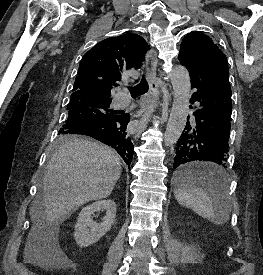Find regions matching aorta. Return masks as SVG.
Returning a JSON list of instances; mask_svg holds the SVG:
<instances>
[{
	"instance_id": "aorta-1",
	"label": "aorta",
	"mask_w": 263,
	"mask_h": 275,
	"mask_svg": "<svg viewBox=\"0 0 263 275\" xmlns=\"http://www.w3.org/2000/svg\"><path fill=\"white\" fill-rule=\"evenodd\" d=\"M170 80L173 86L174 100L164 134V144L167 147L178 141L185 128L191 89L189 72L183 66H175L172 69Z\"/></svg>"
}]
</instances>
